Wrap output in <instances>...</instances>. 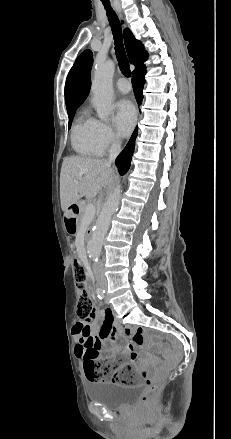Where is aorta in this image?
<instances>
[{
	"label": "aorta",
	"mask_w": 231,
	"mask_h": 439,
	"mask_svg": "<svg viewBox=\"0 0 231 439\" xmlns=\"http://www.w3.org/2000/svg\"><path fill=\"white\" fill-rule=\"evenodd\" d=\"M115 71V63L112 60L98 62L95 67L92 82L93 105L97 116L106 120L112 111L113 85L112 79ZM121 186H117L103 204L101 213L96 221L91 239L87 244V252L91 259L100 257L103 240L110 226L113 213L117 210L120 202Z\"/></svg>",
	"instance_id": "762f6f07"
}]
</instances>
